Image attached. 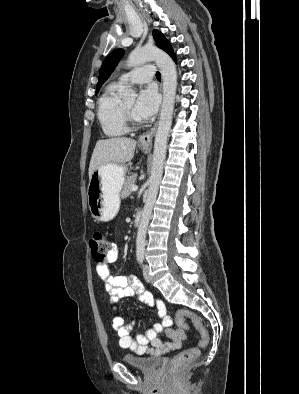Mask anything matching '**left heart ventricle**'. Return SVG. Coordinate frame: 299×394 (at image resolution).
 Wrapping results in <instances>:
<instances>
[{
	"label": "left heart ventricle",
	"mask_w": 299,
	"mask_h": 394,
	"mask_svg": "<svg viewBox=\"0 0 299 394\" xmlns=\"http://www.w3.org/2000/svg\"><path fill=\"white\" fill-rule=\"evenodd\" d=\"M134 105H135L134 100H130V101H127V102L124 103L125 108L128 111H130L132 114H134L133 113Z\"/></svg>",
	"instance_id": "left-heart-ventricle-1"
}]
</instances>
